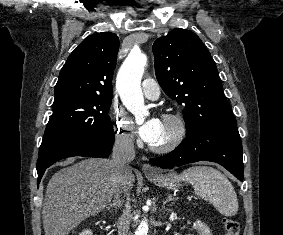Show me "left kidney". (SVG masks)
Returning <instances> with one entry per match:
<instances>
[{"label": "left kidney", "instance_id": "5707ae66", "mask_svg": "<svg viewBox=\"0 0 283 235\" xmlns=\"http://www.w3.org/2000/svg\"><path fill=\"white\" fill-rule=\"evenodd\" d=\"M194 227L199 235H212L208 226L200 220L194 222ZM191 235V234H189Z\"/></svg>", "mask_w": 283, "mask_h": 235}]
</instances>
